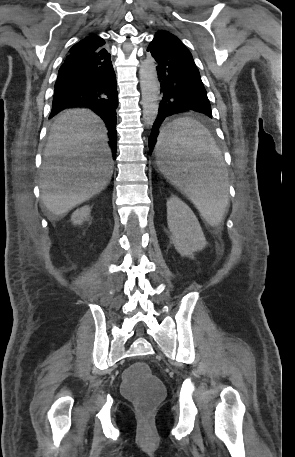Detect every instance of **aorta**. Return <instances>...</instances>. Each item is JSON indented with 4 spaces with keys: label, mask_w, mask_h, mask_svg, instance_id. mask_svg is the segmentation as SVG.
Listing matches in <instances>:
<instances>
[{
    "label": "aorta",
    "mask_w": 295,
    "mask_h": 457,
    "mask_svg": "<svg viewBox=\"0 0 295 457\" xmlns=\"http://www.w3.org/2000/svg\"><path fill=\"white\" fill-rule=\"evenodd\" d=\"M142 93L143 121L151 126L157 118L159 108V83L154 59L148 56L139 69Z\"/></svg>",
    "instance_id": "1"
}]
</instances>
